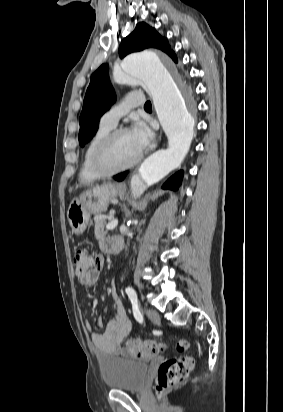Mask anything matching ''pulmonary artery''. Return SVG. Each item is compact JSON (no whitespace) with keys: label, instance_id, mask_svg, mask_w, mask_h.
Returning <instances> with one entry per match:
<instances>
[{"label":"pulmonary artery","instance_id":"1","mask_svg":"<svg viewBox=\"0 0 283 412\" xmlns=\"http://www.w3.org/2000/svg\"><path fill=\"white\" fill-rule=\"evenodd\" d=\"M144 103L145 98L141 93L127 94L120 102L112 106L101 116L100 123L113 128L117 125L119 119L130 109L142 106Z\"/></svg>","mask_w":283,"mask_h":412}]
</instances>
